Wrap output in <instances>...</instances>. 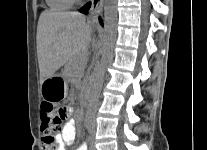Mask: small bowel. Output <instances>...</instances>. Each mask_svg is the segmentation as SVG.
<instances>
[{
    "mask_svg": "<svg viewBox=\"0 0 207 150\" xmlns=\"http://www.w3.org/2000/svg\"><path fill=\"white\" fill-rule=\"evenodd\" d=\"M76 124L75 121H68L62 128L61 132L55 136V142L57 145L56 150H66L67 147L71 146L76 139ZM84 145H78L77 150H89L87 140L83 141Z\"/></svg>",
    "mask_w": 207,
    "mask_h": 150,
    "instance_id": "small-bowel-1",
    "label": "small bowel"
}]
</instances>
